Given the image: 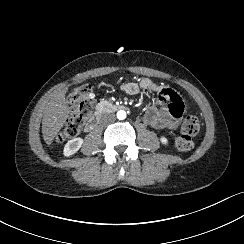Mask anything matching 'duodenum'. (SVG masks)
<instances>
[{"instance_id":"duodenum-1","label":"duodenum","mask_w":244,"mask_h":244,"mask_svg":"<svg viewBox=\"0 0 244 244\" xmlns=\"http://www.w3.org/2000/svg\"><path fill=\"white\" fill-rule=\"evenodd\" d=\"M105 108H110V109H112L114 111H118V110L124 109V105L123 104H120V103H116V104H112V105L102 104L99 107V109L96 111L93 119L89 122L88 129H91L92 130L94 128V126H95V120L94 119L98 118L102 114V112H103V110Z\"/></svg>"}]
</instances>
